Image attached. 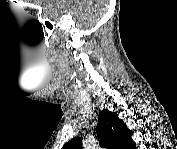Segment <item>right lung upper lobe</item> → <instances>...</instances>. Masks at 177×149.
Returning a JSON list of instances; mask_svg holds the SVG:
<instances>
[{
  "label": "right lung upper lobe",
  "instance_id": "right-lung-upper-lobe-1",
  "mask_svg": "<svg viewBox=\"0 0 177 149\" xmlns=\"http://www.w3.org/2000/svg\"><path fill=\"white\" fill-rule=\"evenodd\" d=\"M132 132L126 127L123 120L116 113L109 110L100 112L97 136L99 144L108 149H133L135 143L131 138ZM64 149H82L80 137H75L67 142Z\"/></svg>",
  "mask_w": 177,
  "mask_h": 149
}]
</instances>
